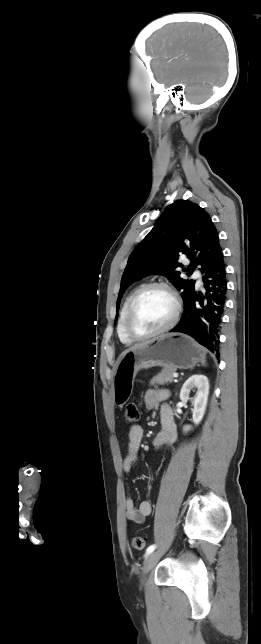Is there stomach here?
<instances>
[{
    "mask_svg": "<svg viewBox=\"0 0 261 644\" xmlns=\"http://www.w3.org/2000/svg\"><path fill=\"white\" fill-rule=\"evenodd\" d=\"M205 352L192 338L184 334H163L145 346L125 353L117 364L112 393L115 405L122 407L131 397L137 373L155 366L176 369L194 367Z\"/></svg>",
    "mask_w": 261,
    "mask_h": 644,
    "instance_id": "obj_1",
    "label": "stomach"
}]
</instances>
